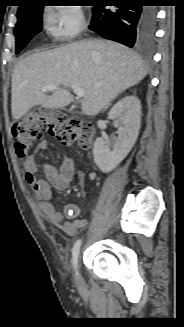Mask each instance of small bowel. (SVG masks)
Returning a JSON list of instances; mask_svg holds the SVG:
<instances>
[{"label":"small bowel","mask_w":184,"mask_h":327,"mask_svg":"<svg viewBox=\"0 0 184 327\" xmlns=\"http://www.w3.org/2000/svg\"><path fill=\"white\" fill-rule=\"evenodd\" d=\"M48 147L46 140L38 142L33 154L29 155L24 161L25 181L32 186L35 194L39 199V208L41 214L52 224L61 225L65 231L75 234L78 230L83 229L87 225L86 219H78L80 213L79 207L74 204H68L63 213L54 209L52 200V188L57 190H65L76 175L75 164L72 159L65 158L59 167L51 164L44 166L45 177L38 178L36 176L37 166L35 157ZM85 175L78 174L79 183H83ZM64 217L70 219L64 222Z\"/></svg>","instance_id":"obj_1"}]
</instances>
